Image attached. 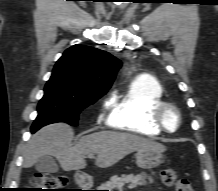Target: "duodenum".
<instances>
[{"mask_svg": "<svg viewBox=\"0 0 218 191\" xmlns=\"http://www.w3.org/2000/svg\"><path fill=\"white\" fill-rule=\"evenodd\" d=\"M76 182L82 188H87L90 185V179L84 172H78L76 174Z\"/></svg>", "mask_w": 218, "mask_h": 191, "instance_id": "1", "label": "duodenum"}]
</instances>
